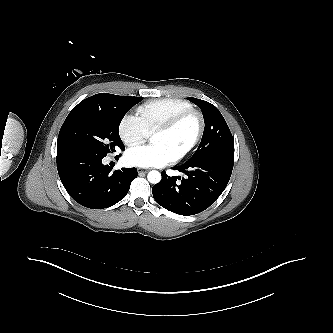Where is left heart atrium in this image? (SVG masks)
Listing matches in <instances>:
<instances>
[{"label":"left heart atrium","instance_id":"left-heart-atrium-1","mask_svg":"<svg viewBox=\"0 0 333 333\" xmlns=\"http://www.w3.org/2000/svg\"><path fill=\"white\" fill-rule=\"evenodd\" d=\"M172 157L163 145H141L130 148L125 153V161L130 166L142 168L162 167L168 164Z\"/></svg>","mask_w":333,"mask_h":333}]
</instances>
